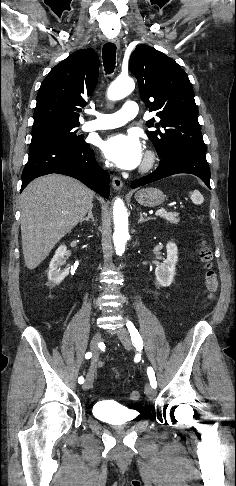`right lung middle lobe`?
Masks as SVG:
<instances>
[{"instance_id": "dd1d6c3e", "label": "right lung middle lobe", "mask_w": 236, "mask_h": 486, "mask_svg": "<svg viewBox=\"0 0 236 486\" xmlns=\"http://www.w3.org/2000/svg\"><path fill=\"white\" fill-rule=\"evenodd\" d=\"M80 124L46 123L32 127L31 144L52 142L69 146H82L85 141L76 135Z\"/></svg>"}]
</instances>
